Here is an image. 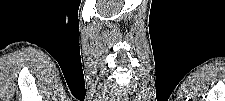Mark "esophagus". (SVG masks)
Listing matches in <instances>:
<instances>
[{
	"instance_id": "1",
	"label": "esophagus",
	"mask_w": 225,
	"mask_h": 101,
	"mask_svg": "<svg viewBox=\"0 0 225 101\" xmlns=\"http://www.w3.org/2000/svg\"><path fill=\"white\" fill-rule=\"evenodd\" d=\"M118 100L124 101V100H126V99H125V97L120 96V97H118Z\"/></svg>"
}]
</instances>
